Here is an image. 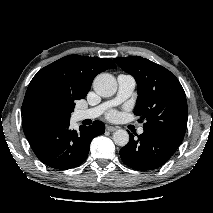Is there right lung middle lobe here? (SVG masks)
<instances>
[{
    "label": "right lung middle lobe",
    "mask_w": 213,
    "mask_h": 213,
    "mask_svg": "<svg viewBox=\"0 0 213 213\" xmlns=\"http://www.w3.org/2000/svg\"><path fill=\"white\" fill-rule=\"evenodd\" d=\"M77 98L51 88H39L24 99L21 112L52 121H69Z\"/></svg>",
    "instance_id": "obj_1"
}]
</instances>
